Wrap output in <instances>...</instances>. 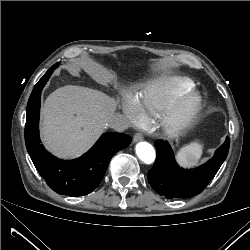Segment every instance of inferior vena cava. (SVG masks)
I'll return each instance as SVG.
<instances>
[{
	"instance_id": "obj_1",
	"label": "inferior vena cava",
	"mask_w": 250,
	"mask_h": 250,
	"mask_svg": "<svg viewBox=\"0 0 250 250\" xmlns=\"http://www.w3.org/2000/svg\"><path fill=\"white\" fill-rule=\"evenodd\" d=\"M105 126L110 127L118 132H122L129 127V121L121 114H114L106 120Z\"/></svg>"
}]
</instances>
